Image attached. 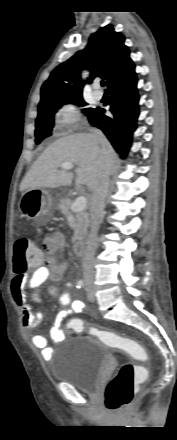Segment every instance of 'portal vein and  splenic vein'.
<instances>
[{
	"mask_svg": "<svg viewBox=\"0 0 177 440\" xmlns=\"http://www.w3.org/2000/svg\"><path fill=\"white\" fill-rule=\"evenodd\" d=\"M60 167L65 170H70L74 167V165H73V163H70V162H64L60 165ZM86 204H87V199L84 196H79L74 201V203L72 205V210L74 212L82 211L86 208Z\"/></svg>",
	"mask_w": 177,
	"mask_h": 440,
	"instance_id": "18ae733b",
	"label": "portal vein and splenic vein"
}]
</instances>
